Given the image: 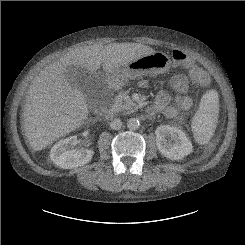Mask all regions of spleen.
I'll list each match as a JSON object with an SVG mask.
<instances>
[{
  "mask_svg": "<svg viewBox=\"0 0 245 245\" xmlns=\"http://www.w3.org/2000/svg\"><path fill=\"white\" fill-rule=\"evenodd\" d=\"M219 114V95L216 90L207 91L201 98V104L192 120V131L199 144L210 141L216 129Z\"/></svg>",
  "mask_w": 245,
  "mask_h": 245,
  "instance_id": "3e777b00",
  "label": "spleen"
}]
</instances>
